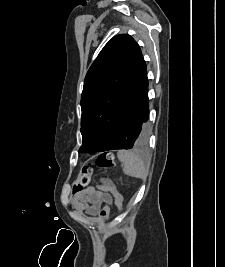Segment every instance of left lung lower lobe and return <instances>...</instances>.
<instances>
[{"mask_svg": "<svg viewBox=\"0 0 225 267\" xmlns=\"http://www.w3.org/2000/svg\"><path fill=\"white\" fill-rule=\"evenodd\" d=\"M148 119V78L146 63L142 57L123 97L115 129L101 151L133 148L141 127Z\"/></svg>", "mask_w": 225, "mask_h": 267, "instance_id": "1", "label": "left lung lower lobe"}]
</instances>
